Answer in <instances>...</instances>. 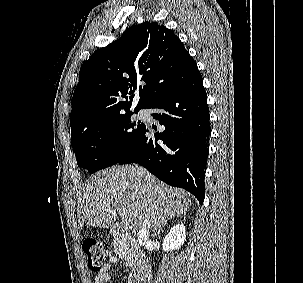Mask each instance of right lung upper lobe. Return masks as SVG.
<instances>
[{"label":"right lung upper lobe","mask_w":303,"mask_h":283,"mask_svg":"<svg viewBox=\"0 0 303 283\" xmlns=\"http://www.w3.org/2000/svg\"><path fill=\"white\" fill-rule=\"evenodd\" d=\"M199 73L172 30L155 22L133 26L83 63L72 98L71 134L130 113L136 94L135 111L147 108Z\"/></svg>","instance_id":"1"}]
</instances>
